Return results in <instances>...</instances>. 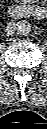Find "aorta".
Returning <instances> with one entry per match:
<instances>
[{"label":"aorta","mask_w":47,"mask_h":129,"mask_svg":"<svg viewBox=\"0 0 47 129\" xmlns=\"http://www.w3.org/2000/svg\"><path fill=\"white\" fill-rule=\"evenodd\" d=\"M15 29L19 35H27L31 31V24L26 20H20L17 22Z\"/></svg>","instance_id":"obj_1"}]
</instances>
